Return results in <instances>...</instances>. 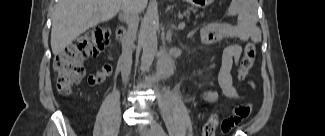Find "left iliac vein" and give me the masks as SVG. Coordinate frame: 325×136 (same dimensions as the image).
I'll use <instances>...</instances> for the list:
<instances>
[{
	"mask_svg": "<svg viewBox=\"0 0 325 136\" xmlns=\"http://www.w3.org/2000/svg\"><path fill=\"white\" fill-rule=\"evenodd\" d=\"M159 124L154 123L151 126H144L140 127L139 130L146 136H159L158 135V128Z\"/></svg>",
	"mask_w": 325,
	"mask_h": 136,
	"instance_id": "left-iliac-vein-1",
	"label": "left iliac vein"
}]
</instances>
